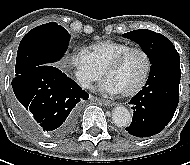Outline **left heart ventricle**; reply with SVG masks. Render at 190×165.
Wrapping results in <instances>:
<instances>
[{
    "label": "left heart ventricle",
    "mask_w": 190,
    "mask_h": 165,
    "mask_svg": "<svg viewBox=\"0 0 190 165\" xmlns=\"http://www.w3.org/2000/svg\"><path fill=\"white\" fill-rule=\"evenodd\" d=\"M145 67L144 56L140 52H132L116 69L108 74L107 80L119 92L129 90L141 80Z\"/></svg>",
    "instance_id": "1"
}]
</instances>
